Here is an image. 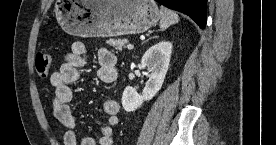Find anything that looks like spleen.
I'll return each mask as SVG.
<instances>
[{"mask_svg": "<svg viewBox=\"0 0 276 145\" xmlns=\"http://www.w3.org/2000/svg\"><path fill=\"white\" fill-rule=\"evenodd\" d=\"M160 18V28L163 30L167 29L170 25L175 24L179 21L178 15L174 11L164 6H161L160 8Z\"/></svg>", "mask_w": 276, "mask_h": 145, "instance_id": "spleen-1", "label": "spleen"}]
</instances>
